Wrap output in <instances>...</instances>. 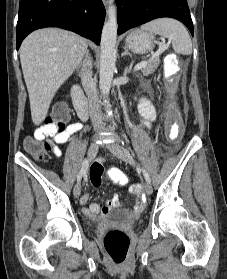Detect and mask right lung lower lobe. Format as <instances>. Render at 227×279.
<instances>
[{
    "label": "right lung lower lobe",
    "instance_id": "right-lung-lower-lobe-1",
    "mask_svg": "<svg viewBox=\"0 0 227 279\" xmlns=\"http://www.w3.org/2000/svg\"><path fill=\"white\" fill-rule=\"evenodd\" d=\"M105 17L102 0H20L16 46L32 31L60 27L100 44Z\"/></svg>",
    "mask_w": 227,
    "mask_h": 279
}]
</instances>
